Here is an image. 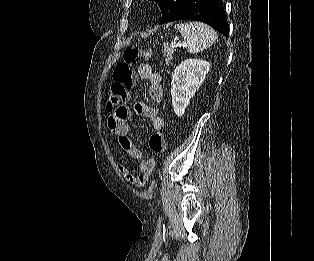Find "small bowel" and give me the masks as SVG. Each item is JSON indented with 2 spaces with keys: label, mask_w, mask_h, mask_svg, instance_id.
<instances>
[{
  "label": "small bowel",
  "mask_w": 314,
  "mask_h": 261,
  "mask_svg": "<svg viewBox=\"0 0 314 261\" xmlns=\"http://www.w3.org/2000/svg\"><path fill=\"white\" fill-rule=\"evenodd\" d=\"M138 75L149 83L148 94L154 103H161L164 98L162 87V77L155 72L149 64H140L138 66ZM137 114L149 118L154 131H161L164 127V119L158 115L157 109L145 102L135 104ZM131 118V111L125 104L111 108V114L107 119V126L110 132L116 137L119 147L122 151L140 162L139 172H132L127 166L118 164L117 168L120 174L131 185L144 187L153 174L156 162L151 157H145L140 148L130 137L128 120Z\"/></svg>",
  "instance_id": "small-bowel-1"
}]
</instances>
